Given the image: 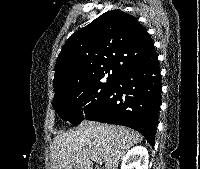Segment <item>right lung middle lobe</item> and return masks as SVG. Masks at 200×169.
<instances>
[{"mask_svg":"<svg viewBox=\"0 0 200 169\" xmlns=\"http://www.w3.org/2000/svg\"><path fill=\"white\" fill-rule=\"evenodd\" d=\"M114 83V78H108L106 83L100 79L92 81L70 95L55 99L54 109L62 119L77 125L103 105Z\"/></svg>","mask_w":200,"mask_h":169,"instance_id":"dd1d6c3e","label":"right lung middle lobe"}]
</instances>
